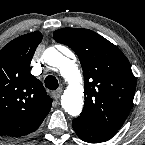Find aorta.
Masks as SVG:
<instances>
[{
  "mask_svg": "<svg viewBox=\"0 0 145 145\" xmlns=\"http://www.w3.org/2000/svg\"><path fill=\"white\" fill-rule=\"evenodd\" d=\"M43 57L48 65L62 70L69 85L61 97V105L69 115L78 116L83 108L82 76L78 67L53 47L48 48Z\"/></svg>",
  "mask_w": 145,
  "mask_h": 145,
  "instance_id": "762f6f07",
  "label": "aorta"
}]
</instances>
